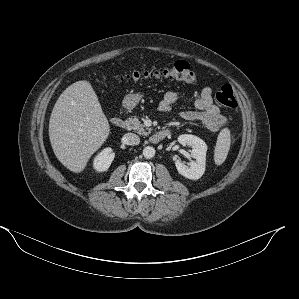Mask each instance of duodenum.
<instances>
[{
    "label": "duodenum",
    "mask_w": 299,
    "mask_h": 299,
    "mask_svg": "<svg viewBox=\"0 0 299 299\" xmlns=\"http://www.w3.org/2000/svg\"><path fill=\"white\" fill-rule=\"evenodd\" d=\"M111 123L113 126L118 127V128H121L124 126V121L119 117L112 118ZM170 135H171V131L169 129H164V130H160V131H157L154 134H152L150 137V140L153 143H158Z\"/></svg>",
    "instance_id": "410a0bca"
}]
</instances>
